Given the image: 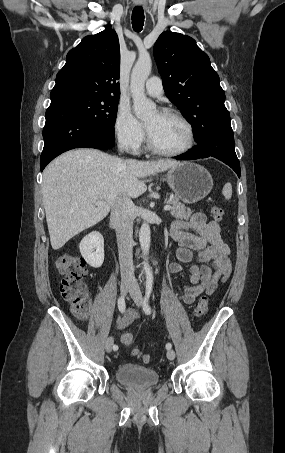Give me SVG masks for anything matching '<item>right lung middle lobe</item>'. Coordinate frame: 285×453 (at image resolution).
<instances>
[{
	"label": "right lung middle lobe",
	"instance_id": "right-lung-middle-lobe-1",
	"mask_svg": "<svg viewBox=\"0 0 285 453\" xmlns=\"http://www.w3.org/2000/svg\"><path fill=\"white\" fill-rule=\"evenodd\" d=\"M51 102L72 108L93 128L114 138L119 98L104 95L69 94Z\"/></svg>",
	"mask_w": 285,
	"mask_h": 453
}]
</instances>
